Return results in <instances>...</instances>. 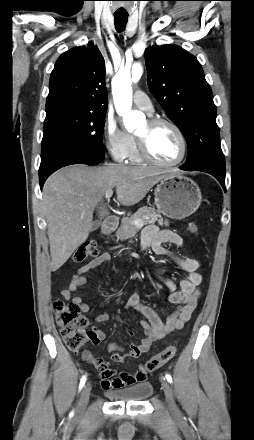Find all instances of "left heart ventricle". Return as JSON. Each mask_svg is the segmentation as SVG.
Here are the masks:
<instances>
[{
	"instance_id": "left-heart-ventricle-1",
	"label": "left heart ventricle",
	"mask_w": 254,
	"mask_h": 440,
	"mask_svg": "<svg viewBox=\"0 0 254 440\" xmlns=\"http://www.w3.org/2000/svg\"><path fill=\"white\" fill-rule=\"evenodd\" d=\"M136 135L148 139L150 151L158 160L170 163L180 157L181 141L171 127L160 125L151 128L148 122H145L136 132Z\"/></svg>"
}]
</instances>
